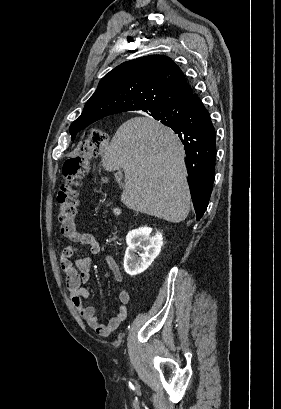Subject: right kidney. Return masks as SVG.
<instances>
[{
    "instance_id": "obj_1",
    "label": "right kidney",
    "mask_w": 281,
    "mask_h": 409,
    "mask_svg": "<svg viewBox=\"0 0 281 409\" xmlns=\"http://www.w3.org/2000/svg\"><path fill=\"white\" fill-rule=\"evenodd\" d=\"M151 233V227H139V229L129 231L126 237L128 247L125 251L124 269L131 277L146 271L161 251L162 233L159 231L156 235H151Z\"/></svg>"
}]
</instances>
